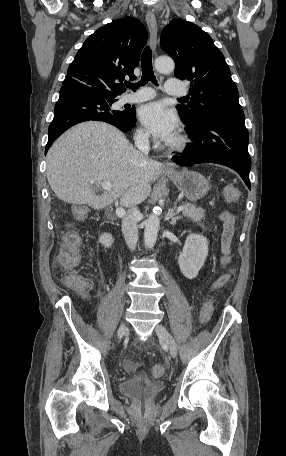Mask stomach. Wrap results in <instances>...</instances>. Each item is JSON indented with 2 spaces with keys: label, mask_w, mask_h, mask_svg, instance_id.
Returning <instances> with one entry per match:
<instances>
[{
  "label": "stomach",
  "mask_w": 286,
  "mask_h": 456,
  "mask_svg": "<svg viewBox=\"0 0 286 456\" xmlns=\"http://www.w3.org/2000/svg\"><path fill=\"white\" fill-rule=\"evenodd\" d=\"M168 176L188 200L198 201L209 190V183L199 172L184 170L179 173H168Z\"/></svg>",
  "instance_id": "0dacf381"
}]
</instances>
